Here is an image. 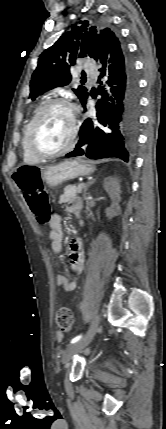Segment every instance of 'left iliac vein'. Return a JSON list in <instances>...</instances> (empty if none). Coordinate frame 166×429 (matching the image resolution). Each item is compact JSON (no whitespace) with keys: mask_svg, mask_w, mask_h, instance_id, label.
<instances>
[{"mask_svg":"<svg viewBox=\"0 0 166 429\" xmlns=\"http://www.w3.org/2000/svg\"><path fill=\"white\" fill-rule=\"evenodd\" d=\"M100 316L96 314L93 318L90 327L86 333V335L79 341L69 345L63 352L62 355V364L66 365L72 358V356L85 348L93 339L96 334L98 325H99Z\"/></svg>","mask_w":166,"mask_h":429,"instance_id":"4c4485c4","label":"left iliac vein"}]
</instances>
